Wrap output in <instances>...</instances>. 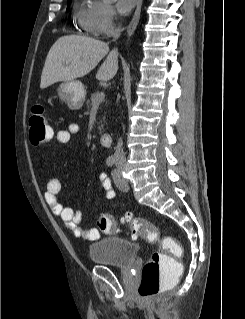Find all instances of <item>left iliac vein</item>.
I'll use <instances>...</instances> for the list:
<instances>
[{"label":"left iliac vein","mask_w":245,"mask_h":319,"mask_svg":"<svg viewBox=\"0 0 245 319\" xmlns=\"http://www.w3.org/2000/svg\"><path fill=\"white\" fill-rule=\"evenodd\" d=\"M123 168H124V166L122 164H118L117 171H118L119 185L117 183H115V184L117 185L118 188H120L122 190H128L129 189L128 181L122 175Z\"/></svg>","instance_id":"left-iliac-vein-1"}]
</instances>
